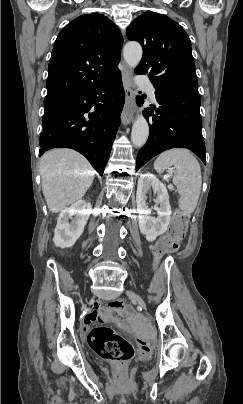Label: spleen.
<instances>
[{"instance_id": "spleen-1", "label": "spleen", "mask_w": 243, "mask_h": 404, "mask_svg": "<svg viewBox=\"0 0 243 404\" xmlns=\"http://www.w3.org/2000/svg\"><path fill=\"white\" fill-rule=\"evenodd\" d=\"M174 168L173 184L176 186L180 200L178 206L185 216L193 214L201 194L202 176L199 162L185 148H173L158 156L154 168L157 174Z\"/></svg>"}]
</instances>
